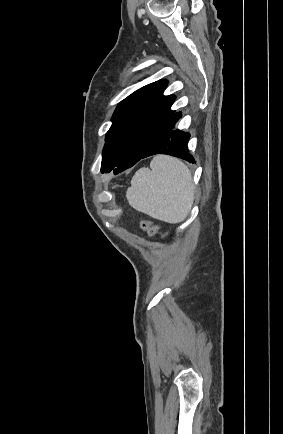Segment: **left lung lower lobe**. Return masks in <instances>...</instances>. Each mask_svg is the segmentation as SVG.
<instances>
[{
  "instance_id": "1",
  "label": "left lung lower lobe",
  "mask_w": 283,
  "mask_h": 434,
  "mask_svg": "<svg viewBox=\"0 0 283 434\" xmlns=\"http://www.w3.org/2000/svg\"><path fill=\"white\" fill-rule=\"evenodd\" d=\"M181 116L180 112L174 113L165 126L159 131L143 155L135 162L118 164L114 168V173L116 174L132 167L140 159L155 154H167L193 163L194 158L189 154L187 148L190 134L174 128Z\"/></svg>"
}]
</instances>
